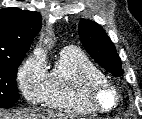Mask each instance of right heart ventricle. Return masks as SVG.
<instances>
[{"label":"right heart ventricle","instance_id":"obj_1","mask_svg":"<svg viewBox=\"0 0 142 119\" xmlns=\"http://www.w3.org/2000/svg\"><path fill=\"white\" fill-rule=\"evenodd\" d=\"M106 80L103 72L79 48H64L47 72L42 102L45 106L77 115H91L96 111L85 99L88 86Z\"/></svg>","mask_w":142,"mask_h":119}]
</instances>
